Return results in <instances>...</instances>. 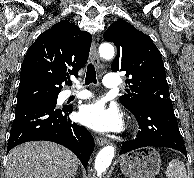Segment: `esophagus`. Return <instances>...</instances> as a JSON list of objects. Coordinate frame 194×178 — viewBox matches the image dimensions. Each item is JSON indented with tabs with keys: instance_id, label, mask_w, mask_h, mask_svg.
<instances>
[{
	"instance_id": "esophagus-1",
	"label": "esophagus",
	"mask_w": 194,
	"mask_h": 178,
	"mask_svg": "<svg viewBox=\"0 0 194 178\" xmlns=\"http://www.w3.org/2000/svg\"><path fill=\"white\" fill-rule=\"evenodd\" d=\"M90 60L98 67L100 64V60L97 53V44L93 40L90 48ZM96 144L102 146L109 143V140L104 137H96L95 138Z\"/></svg>"
}]
</instances>
